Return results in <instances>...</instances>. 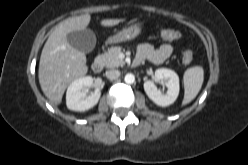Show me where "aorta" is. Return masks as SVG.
Wrapping results in <instances>:
<instances>
[{"label": "aorta", "mask_w": 248, "mask_h": 165, "mask_svg": "<svg viewBox=\"0 0 248 165\" xmlns=\"http://www.w3.org/2000/svg\"><path fill=\"white\" fill-rule=\"evenodd\" d=\"M124 81L127 84H133L134 81H135V76L133 74H131V73H128V74L125 75Z\"/></svg>", "instance_id": "obj_1"}]
</instances>
